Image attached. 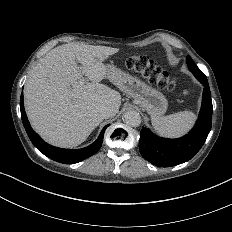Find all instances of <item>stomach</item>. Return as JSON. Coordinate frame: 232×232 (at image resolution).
<instances>
[{"instance_id":"stomach-1","label":"stomach","mask_w":232,"mask_h":232,"mask_svg":"<svg viewBox=\"0 0 232 232\" xmlns=\"http://www.w3.org/2000/svg\"><path fill=\"white\" fill-rule=\"evenodd\" d=\"M106 77L120 90L129 95L152 116H161L167 109V99L158 90L147 86L136 77L126 74L112 66H107Z\"/></svg>"}]
</instances>
